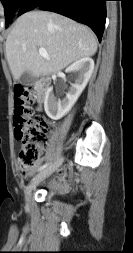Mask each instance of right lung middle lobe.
Returning a JSON list of instances; mask_svg holds the SVG:
<instances>
[{
  "label": "right lung middle lobe",
  "instance_id": "right-lung-middle-lobe-1",
  "mask_svg": "<svg viewBox=\"0 0 133 253\" xmlns=\"http://www.w3.org/2000/svg\"><path fill=\"white\" fill-rule=\"evenodd\" d=\"M4 6L7 24L18 13L25 0H0Z\"/></svg>",
  "mask_w": 133,
  "mask_h": 253
}]
</instances>
